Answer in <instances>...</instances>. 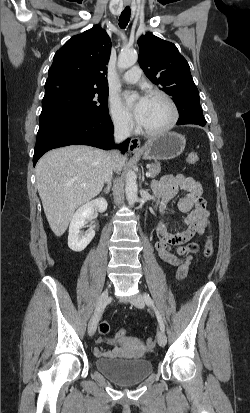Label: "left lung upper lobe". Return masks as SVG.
Wrapping results in <instances>:
<instances>
[{
    "label": "left lung upper lobe",
    "instance_id": "1",
    "mask_svg": "<svg viewBox=\"0 0 250 413\" xmlns=\"http://www.w3.org/2000/svg\"><path fill=\"white\" fill-rule=\"evenodd\" d=\"M138 45L140 67L151 82L173 97L178 111L187 108L191 112L203 113L189 64L177 47L151 33L142 35Z\"/></svg>",
    "mask_w": 250,
    "mask_h": 413
}]
</instances>
